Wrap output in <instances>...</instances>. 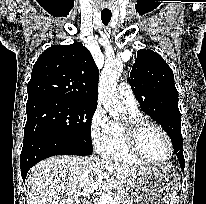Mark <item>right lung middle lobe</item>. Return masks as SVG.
<instances>
[{
    "mask_svg": "<svg viewBox=\"0 0 206 204\" xmlns=\"http://www.w3.org/2000/svg\"><path fill=\"white\" fill-rule=\"evenodd\" d=\"M96 107L95 103L59 98L28 100L24 141L36 136L54 137L91 154L90 124Z\"/></svg>",
    "mask_w": 206,
    "mask_h": 204,
    "instance_id": "right-lung-middle-lobe-1",
    "label": "right lung middle lobe"
}]
</instances>
